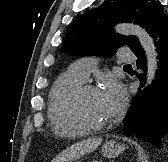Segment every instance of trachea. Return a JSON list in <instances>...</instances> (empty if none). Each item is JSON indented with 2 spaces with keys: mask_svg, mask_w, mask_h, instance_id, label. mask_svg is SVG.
Listing matches in <instances>:
<instances>
[{
  "mask_svg": "<svg viewBox=\"0 0 168 162\" xmlns=\"http://www.w3.org/2000/svg\"><path fill=\"white\" fill-rule=\"evenodd\" d=\"M124 67H131V65H125Z\"/></svg>",
  "mask_w": 168,
  "mask_h": 162,
  "instance_id": "obj_1",
  "label": "trachea"
}]
</instances>
